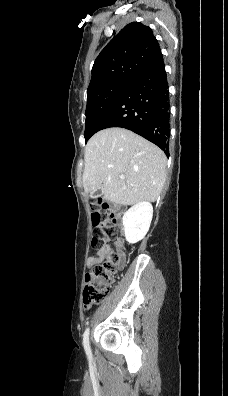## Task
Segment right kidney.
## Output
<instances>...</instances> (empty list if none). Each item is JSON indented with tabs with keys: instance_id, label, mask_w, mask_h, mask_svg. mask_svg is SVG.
I'll list each match as a JSON object with an SVG mask.
<instances>
[{
	"instance_id": "obj_1",
	"label": "right kidney",
	"mask_w": 228,
	"mask_h": 396,
	"mask_svg": "<svg viewBox=\"0 0 228 396\" xmlns=\"http://www.w3.org/2000/svg\"><path fill=\"white\" fill-rule=\"evenodd\" d=\"M153 216V206L147 201H142L127 210L122 218L126 240L137 243L144 238L149 230Z\"/></svg>"
}]
</instances>
